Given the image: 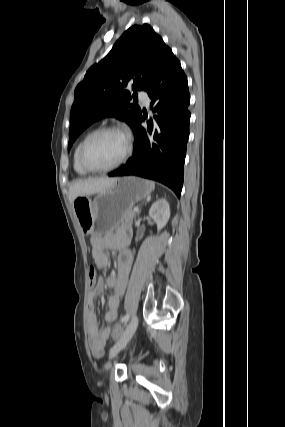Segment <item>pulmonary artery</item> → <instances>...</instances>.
I'll use <instances>...</instances> for the list:
<instances>
[{"instance_id":"pulmonary-artery-1","label":"pulmonary artery","mask_w":285,"mask_h":427,"mask_svg":"<svg viewBox=\"0 0 285 427\" xmlns=\"http://www.w3.org/2000/svg\"><path fill=\"white\" fill-rule=\"evenodd\" d=\"M138 97L145 107L149 106V96L146 91L140 90L138 93Z\"/></svg>"}]
</instances>
